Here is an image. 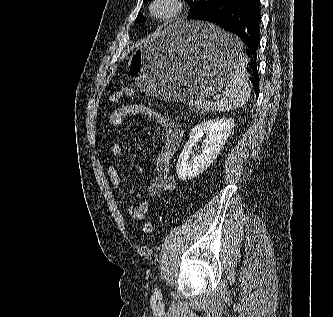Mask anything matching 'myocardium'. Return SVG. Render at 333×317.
Segmentation results:
<instances>
[{"mask_svg":"<svg viewBox=\"0 0 333 317\" xmlns=\"http://www.w3.org/2000/svg\"><path fill=\"white\" fill-rule=\"evenodd\" d=\"M184 10L182 0H151L148 14L151 18L161 22H170L178 18Z\"/></svg>","mask_w":333,"mask_h":317,"instance_id":"1","label":"myocardium"}]
</instances>
